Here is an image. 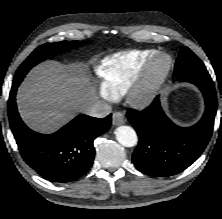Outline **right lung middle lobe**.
Instances as JSON below:
<instances>
[{"mask_svg": "<svg viewBox=\"0 0 222 219\" xmlns=\"http://www.w3.org/2000/svg\"><path fill=\"white\" fill-rule=\"evenodd\" d=\"M81 45L80 41H61L56 43H47L39 46L32 54L20 65L16 71L13 84L19 85L27 72L41 61L54 56L63 51L70 50L72 47Z\"/></svg>", "mask_w": 222, "mask_h": 219, "instance_id": "1", "label": "right lung middle lobe"}]
</instances>
